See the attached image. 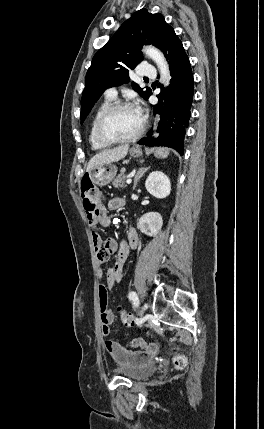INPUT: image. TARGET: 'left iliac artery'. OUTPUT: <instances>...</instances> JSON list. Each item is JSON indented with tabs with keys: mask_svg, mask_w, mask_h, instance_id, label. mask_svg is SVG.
<instances>
[{
	"mask_svg": "<svg viewBox=\"0 0 264 429\" xmlns=\"http://www.w3.org/2000/svg\"><path fill=\"white\" fill-rule=\"evenodd\" d=\"M134 293H135V291H132V292L129 293L128 297H129L130 300H132Z\"/></svg>",
	"mask_w": 264,
	"mask_h": 429,
	"instance_id": "44dca946",
	"label": "left iliac artery"
}]
</instances>
